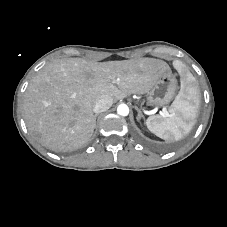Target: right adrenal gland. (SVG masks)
I'll list each match as a JSON object with an SVG mask.
<instances>
[{"instance_id":"1","label":"right adrenal gland","mask_w":227,"mask_h":227,"mask_svg":"<svg viewBox=\"0 0 227 227\" xmlns=\"http://www.w3.org/2000/svg\"><path fill=\"white\" fill-rule=\"evenodd\" d=\"M97 116H98V114H95V120H96ZM95 125H96V124H95Z\"/></svg>"}]
</instances>
